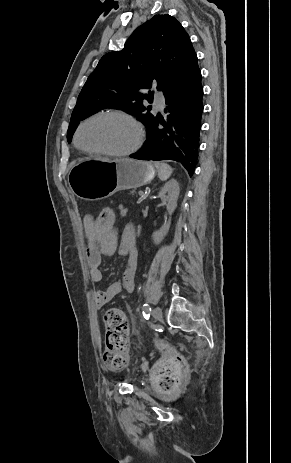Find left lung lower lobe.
Returning <instances> with one entry per match:
<instances>
[{
  "mask_svg": "<svg viewBox=\"0 0 291 463\" xmlns=\"http://www.w3.org/2000/svg\"><path fill=\"white\" fill-rule=\"evenodd\" d=\"M199 67L165 96L167 117L154 116L144 146L130 157L140 160H174L192 176L195 170L203 113V87Z\"/></svg>",
  "mask_w": 291,
  "mask_h": 463,
  "instance_id": "obj_1",
  "label": "left lung lower lobe"
}]
</instances>
